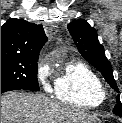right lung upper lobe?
Here are the masks:
<instances>
[{
  "label": "right lung upper lobe",
  "mask_w": 122,
  "mask_h": 123,
  "mask_svg": "<svg viewBox=\"0 0 122 123\" xmlns=\"http://www.w3.org/2000/svg\"><path fill=\"white\" fill-rule=\"evenodd\" d=\"M47 37L42 25L9 19L1 27V55L38 57Z\"/></svg>",
  "instance_id": "1"
}]
</instances>
